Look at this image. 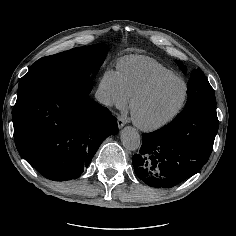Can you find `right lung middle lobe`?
<instances>
[{
    "mask_svg": "<svg viewBox=\"0 0 236 236\" xmlns=\"http://www.w3.org/2000/svg\"><path fill=\"white\" fill-rule=\"evenodd\" d=\"M107 52L106 44H94L73 48L37 60L20 80L17 98L37 88L81 78H86L92 85L90 75L98 71Z\"/></svg>",
    "mask_w": 236,
    "mask_h": 236,
    "instance_id": "right-lung-middle-lobe-1",
    "label": "right lung middle lobe"
}]
</instances>
